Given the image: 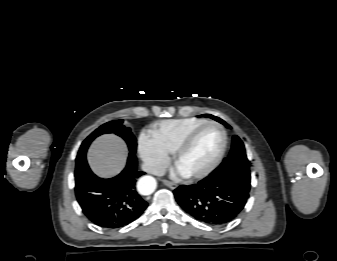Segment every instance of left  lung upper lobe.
Wrapping results in <instances>:
<instances>
[{"mask_svg":"<svg viewBox=\"0 0 337 261\" xmlns=\"http://www.w3.org/2000/svg\"><path fill=\"white\" fill-rule=\"evenodd\" d=\"M209 117L216 119L229 127L223 120L211 115H209ZM210 176L226 177L239 184L247 192L250 191V164L246 156L244 144L238 136H233L232 148L229 156L223 160L220 166L215 169Z\"/></svg>","mask_w":337,"mask_h":261,"instance_id":"1","label":"left lung upper lobe"}]
</instances>
